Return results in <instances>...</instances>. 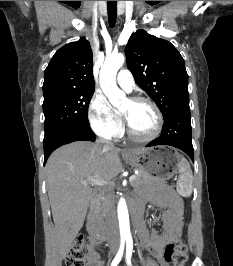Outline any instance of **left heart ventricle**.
Segmentation results:
<instances>
[{
  "instance_id": "b2bd125f",
  "label": "left heart ventricle",
  "mask_w": 233,
  "mask_h": 266,
  "mask_svg": "<svg viewBox=\"0 0 233 266\" xmlns=\"http://www.w3.org/2000/svg\"><path fill=\"white\" fill-rule=\"evenodd\" d=\"M132 131L138 136L150 135L156 127V114L154 109L144 102H131L126 100L120 107Z\"/></svg>"
}]
</instances>
